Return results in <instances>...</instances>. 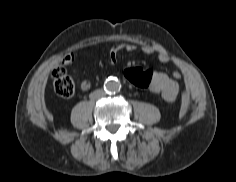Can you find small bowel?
Returning a JSON list of instances; mask_svg holds the SVG:
<instances>
[{
  "label": "small bowel",
  "mask_w": 236,
  "mask_h": 182,
  "mask_svg": "<svg viewBox=\"0 0 236 182\" xmlns=\"http://www.w3.org/2000/svg\"><path fill=\"white\" fill-rule=\"evenodd\" d=\"M135 50H137V46L130 42H121L114 44L113 46H111L109 51L110 61L113 63L116 62L117 55L120 51L133 52ZM141 50L145 54H156L158 60L161 63H166L169 61V55L164 49L160 50L151 44L145 43L141 46ZM65 61L70 62L71 57L70 56L65 57ZM151 72L153 75V79L149 87L150 91L160 95L162 99L167 102H173L177 98L180 92V85L178 84V82L164 72H159V71H151ZM173 77L179 79L181 78V73L174 72ZM81 87L83 90H88L91 87V82L88 80H84L81 83Z\"/></svg>",
  "instance_id": "c3829d8e"
}]
</instances>
